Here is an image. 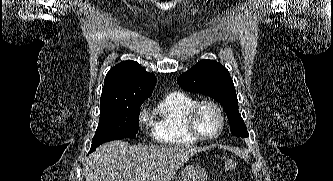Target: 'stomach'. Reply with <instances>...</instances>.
I'll list each match as a JSON object with an SVG mask.
<instances>
[{
  "instance_id": "stomach-1",
  "label": "stomach",
  "mask_w": 333,
  "mask_h": 181,
  "mask_svg": "<svg viewBox=\"0 0 333 181\" xmlns=\"http://www.w3.org/2000/svg\"><path fill=\"white\" fill-rule=\"evenodd\" d=\"M183 181H206V170L197 164H188L181 170Z\"/></svg>"
}]
</instances>
